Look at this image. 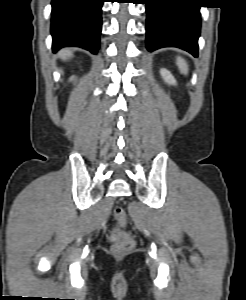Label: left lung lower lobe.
Listing matches in <instances>:
<instances>
[{"label": "left lung lower lobe", "mask_w": 246, "mask_h": 300, "mask_svg": "<svg viewBox=\"0 0 246 300\" xmlns=\"http://www.w3.org/2000/svg\"><path fill=\"white\" fill-rule=\"evenodd\" d=\"M146 47H178L198 56L201 28L200 5L196 0H145Z\"/></svg>", "instance_id": "obj_1"}]
</instances>
